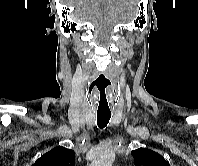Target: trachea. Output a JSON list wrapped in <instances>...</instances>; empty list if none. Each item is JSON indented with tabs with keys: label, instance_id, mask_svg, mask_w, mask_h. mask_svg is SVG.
<instances>
[{
	"label": "trachea",
	"instance_id": "3493384b",
	"mask_svg": "<svg viewBox=\"0 0 198 166\" xmlns=\"http://www.w3.org/2000/svg\"><path fill=\"white\" fill-rule=\"evenodd\" d=\"M111 118V113H97V125L99 128L103 129L109 123Z\"/></svg>",
	"mask_w": 198,
	"mask_h": 166
}]
</instances>
